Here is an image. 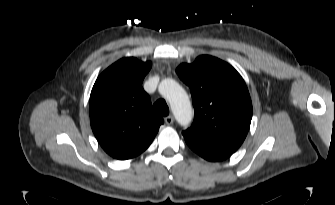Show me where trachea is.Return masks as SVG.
Listing matches in <instances>:
<instances>
[{"label":"trachea","mask_w":335,"mask_h":205,"mask_svg":"<svg viewBox=\"0 0 335 205\" xmlns=\"http://www.w3.org/2000/svg\"><path fill=\"white\" fill-rule=\"evenodd\" d=\"M153 110L161 116H167L169 114L168 105L163 99H159L154 103Z\"/></svg>","instance_id":"trachea-1"}]
</instances>
